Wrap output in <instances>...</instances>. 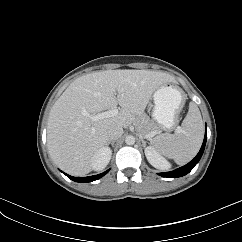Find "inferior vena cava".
<instances>
[{
    "label": "inferior vena cava",
    "mask_w": 242,
    "mask_h": 242,
    "mask_svg": "<svg viewBox=\"0 0 242 242\" xmlns=\"http://www.w3.org/2000/svg\"><path fill=\"white\" fill-rule=\"evenodd\" d=\"M123 135V128L121 126H111L108 130V137L110 140H116Z\"/></svg>",
    "instance_id": "inferior-vena-cava-1"
}]
</instances>
